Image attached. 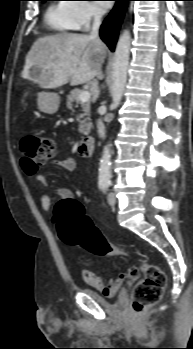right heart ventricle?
<instances>
[{
    "mask_svg": "<svg viewBox=\"0 0 193 349\" xmlns=\"http://www.w3.org/2000/svg\"><path fill=\"white\" fill-rule=\"evenodd\" d=\"M46 24L56 32L67 33L77 28L70 11V4L65 1L51 3L45 14Z\"/></svg>",
    "mask_w": 193,
    "mask_h": 349,
    "instance_id": "e07e8e85",
    "label": "right heart ventricle"
}]
</instances>
